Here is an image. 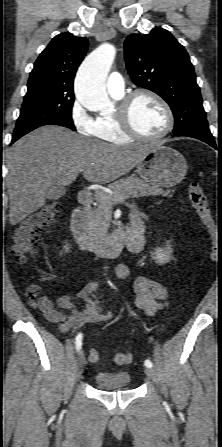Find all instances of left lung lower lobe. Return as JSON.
I'll return each mask as SVG.
<instances>
[{"mask_svg":"<svg viewBox=\"0 0 222 447\" xmlns=\"http://www.w3.org/2000/svg\"><path fill=\"white\" fill-rule=\"evenodd\" d=\"M184 136H186V135H184ZM189 137L197 138V139H199L201 141H204L207 144L211 145L213 148L217 149V146H216L214 138L213 139H206V138H202V137H198V136H189Z\"/></svg>","mask_w":222,"mask_h":447,"instance_id":"left-lung-lower-lobe-1","label":"left lung lower lobe"}]
</instances>
